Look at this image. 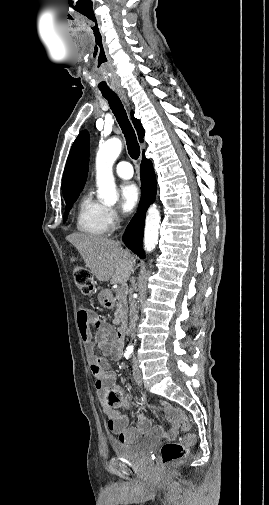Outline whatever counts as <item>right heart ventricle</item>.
Instances as JSON below:
<instances>
[{
    "label": "right heart ventricle",
    "mask_w": 269,
    "mask_h": 505,
    "mask_svg": "<svg viewBox=\"0 0 269 505\" xmlns=\"http://www.w3.org/2000/svg\"><path fill=\"white\" fill-rule=\"evenodd\" d=\"M106 207L85 193L78 204L76 226L79 231L92 236H103L109 231L105 216Z\"/></svg>",
    "instance_id": "e07e8e85"
}]
</instances>
